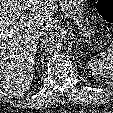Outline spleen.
Masks as SVG:
<instances>
[{"label":"spleen","instance_id":"3e777b00","mask_svg":"<svg viewBox=\"0 0 113 113\" xmlns=\"http://www.w3.org/2000/svg\"><path fill=\"white\" fill-rule=\"evenodd\" d=\"M87 66L93 75L113 79V42L109 45L107 53L102 59H90Z\"/></svg>","mask_w":113,"mask_h":113}]
</instances>
